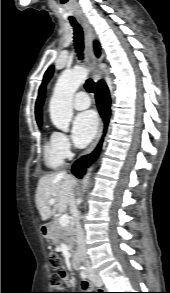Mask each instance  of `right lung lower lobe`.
I'll return each mask as SVG.
<instances>
[{
  "instance_id": "98d812e1",
  "label": "right lung lower lobe",
  "mask_w": 170,
  "mask_h": 293,
  "mask_svg": "<svg viewBox=\"0 0 170 293\" xmlns=\"http://www.w3.org/2000/svg\"><path fill=\"white\" fill-rule=\"evenodd\" d=\"M96 101L99 112L102 118L104 119L105 126H107L110 117V95L109 90L103 81H99L97 83ZM100 148L101 143L98 145L97 149L92 154L82 157L73 164L72 173L76 177L82 178V176L85 174L86 168L97 156Z\"/></svg>"
}]
</instances>
